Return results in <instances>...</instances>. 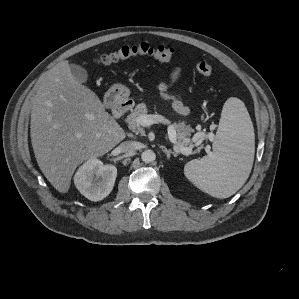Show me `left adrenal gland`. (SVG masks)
Segmentation results:
<instances>
[{
	"mask_svg": "<svg viewBox=\"0 0 299 299\" xmlns=\"http://www.w3.org/2000/svg\"><path fill=\"white\" fill-rule=\"evenodd\" d=\"M163 152L166 154L167 159H170L171 154L176 157L177 154L173 152L172 150H168L167 148L164 147Z\"/></svg>",
	"mask_w": 299,
	"mask_h": 299,
	"instance_id": "1",
	"label": "left adrenal gland"
}]
</instances>
